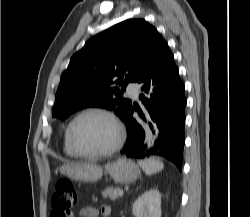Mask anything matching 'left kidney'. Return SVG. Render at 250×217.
<instances>
[{"label":"left kidney","mask_w":250,"mask_h":217,"mask_svg":"<svg viewBox=\"0 0 250 217\" xmlns=\"http://www.w3.org/2000/svg\"><path fill=\"white\" fill-rule=\"evenodd\" d=\"M136 217H161V194L157 189L144 192L132 207Z\"/></svg>","instance_id":"left-kidney-1"}]
</instances>
